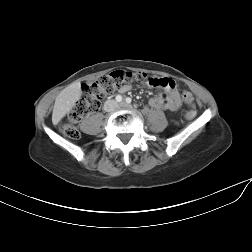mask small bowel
<instances>
[{
    "label": "small bowel",
    "instance_id": "obj_1",
    "mask_svg": "<svg viewBox=\"0 0 252 252\" xmlns=\"http://www.w3.org/2000/svg\"><path fill=\"white\" fill-rule=\"evenodd\" d=\"M152 87H159L166 91V94L156 95L150 98L149 104L155 109H168V110H177L180 105V96L177 88L176 82L167 77L149 78ZM129 87L124 91H127Z\"/></svg>",
    "mask_w": 252,
    "mask_h": 252
}]
</instances>
